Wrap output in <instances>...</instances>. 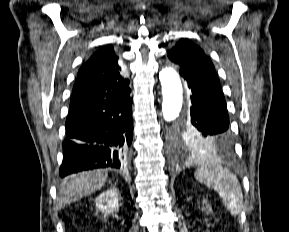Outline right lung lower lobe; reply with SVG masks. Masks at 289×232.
Instances as JSON below:
<instances>
[{
  "mask_svg": "<svg viewBox=\"0 0 289 232\" xmlns=\"http://www.w3.org/2000/svg\"><path fill=\"white\" fill-rule=\"evenodd\" d=\"M130 92L70 109L61 177L89 169L123 167L133 138Z\"/></svg>",
  "mask_w": 289,
  "mask_h": 232,
  "instance_id": "98d812e1",
  "label": "right lung lower lobe"
}]
</instances>
